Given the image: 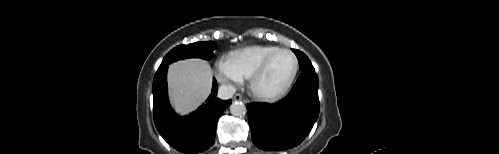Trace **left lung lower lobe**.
Wrapping results in <instances>:
<instances>
[{"label":"left lung lower lobe","instance_id":"1","mask_svg":"<svg viewBox=\"0 0 499 154\" xmlns=\"http://www.w3.org/2000/svg\"><path fill=\"white\" fill-rule=\"evenodd\" d=\"M318 85L316 73L302 72L281 101L248 104L253 143L265 151H280L300 144L318 118Z\"/></svg>","mask_w":499,"mask_h":154}]
</instances>
